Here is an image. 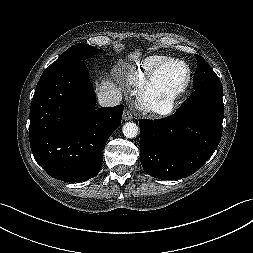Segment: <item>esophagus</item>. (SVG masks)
I'll return each mask as SVG.
<instances>
[{
	"label": "esophagus",
	"mask_w": 253,
	"mask_h": 253,
	"mask_svg": "<svg viewBox=\"0 0 253 253\" xmlns=\"http://www.w3.org/2000/svg\"><path fill=\"white\" fill-rule=\"evenodd\" d=\"M123 119L125 121H128V120H131L133 119V114L131 113V111L129 109H126L124 112H123Z\"/></svg>",
	"instance_id": "1"
}]
</instances>
